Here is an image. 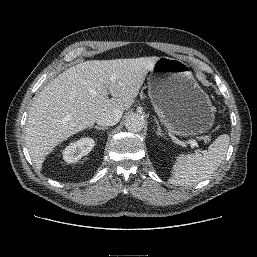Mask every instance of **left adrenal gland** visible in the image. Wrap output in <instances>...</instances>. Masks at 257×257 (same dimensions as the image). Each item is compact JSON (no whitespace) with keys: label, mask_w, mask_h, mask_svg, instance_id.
Returning <instances> with one entry per match:
<instances>
[{"label":"left adrenal gland","mask_w":257,"mask_h":257,"mask_svg":"<svg viewBox=\"0 0 257 257\" xmlns=\"http://www.w3.org/2000/svg\"><path fill=\"white\" fill-rule=\"evenodd\" d=\"M155 123L157 124V131H156L157 135L158 136H163L161 127H160V125H159V123H158V121L156 119H155Z\"/></svg>","instance_id":"obj_1"}]
</instances>
